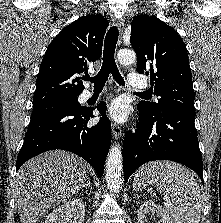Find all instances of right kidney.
Here are the masks:
<instances>
[{
    "instance_id": "right-kidney-1",
    "label": "right kidney",
    "mask_w": 221,
    "mask_h": 223,
    "mask_svg": "<svg viewBox=\"0 0 221 223\" xmlns=\"http://www.w3.org/2000/svg\"><path fill=\"white\" fill-rule=\"evenodd\" d=\"M84 215V203L82 199L76 198L55 208L43 223H82Z\"/></svg>"
}]
</instances>
